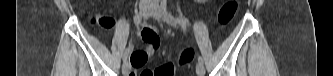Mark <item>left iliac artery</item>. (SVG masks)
Masks as SVG:
<instances>
[{
    "label": "left iliac artery",
    "instance_id": "44dca946",
    "mask_svg": "<svg viewBox=\"0 0 333 76\" xmlns=\"http://www.w3.org/2000/svg\"><path fill=\"white\" fill-rule=\"evenodd\" d=\"M161 8L166 12L167 7H166V1L165 0L161 1ZM176 20L179 23V25H181L183 28H186V26L188 24V20L185 17L180 15V16L177 17ZM198 62L203 63V59H202L201 56H198Z\"/></svg>",
    "mask_w": 333,
    "mask_h": 76
}]
</instances>
